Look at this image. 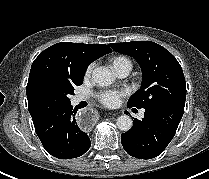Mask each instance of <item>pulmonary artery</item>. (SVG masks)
Masks as SVG:
<instances>
[{"instance_id":"e3ab8cb5","label":"pulmonary artery","mask_w":209,"mask_h":179,"mask_svg":"<svg viewBox=\"0 0 209 179\" xmlns=\"http://www.w3.org/2000/svg\"><path fill=\"white\" fill-rule=\"evenodd\" d=\"M130 70H131L130 67H128V66H123V65H122V66H117V67L114 68L115 73H116L119 77H126V76L129 74ZM84 99H85L84 96L78 95V96L75 97L74 100H75V102H80V101H82V100H84ZM140 115L143 116V112H141Z\"/></svg>"}]
</instances>
